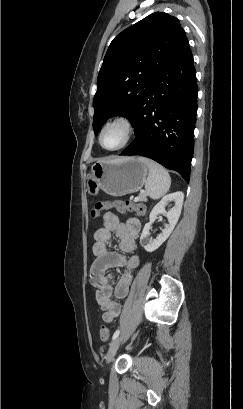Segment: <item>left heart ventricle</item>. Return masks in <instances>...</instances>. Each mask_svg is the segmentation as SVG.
<instances>
[{
    "label": "left heart ventricle",
    "instance_id": "obj_1",
    "mask_svg": "<svg viewBox=\"0 0 243 409\" xmlns=\"http://www.w3.org/2000/svg\"><path fill=\"white\" fill-rule=\"evenodd\" d=\"M124 137V129L121 126L114 125L103 132L102 143L107 148H115L123 142Z\"/></svg>",
    "mask_w": 243,
    "mask_h": 409
}]
</instances>
